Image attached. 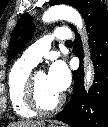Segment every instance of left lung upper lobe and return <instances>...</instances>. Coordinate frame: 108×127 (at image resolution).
<instances>
[{"label": "left lung upper lobe", "mask_w": 108, "mask_h": 127, "mask_svg": "<svg viewBox=\"0 0 108 127\" xmlns=\"http://www.w3.org/2000/svg\"><path fill=\"white\" fill-rule=\"evenodd\" d=\"M83 0H51V5L56 4H68L79 10V7ZM73 29L74 26L71 25ZM34 25L32 22V17L25 13L18 20L10 41L8 60L11 61L12 58L27 44V42L33 37Z\"/></svg>", "instance_id": "left-lung-upper-lobe-1"}]
</instances>
